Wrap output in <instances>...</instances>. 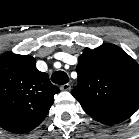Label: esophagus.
Returning <instances> with one entry per match:
<instances>
[{
    "label": "esophagus",
    "mask_w": 139,
    "mask_h": 139,
    "mask_svg": "<svg viewBox=\"0 0 139 139\" xmlns=\"http://www.w3.org/2000/svg\"><path fill=\"white\" fill-rule=\"evenodd\" d=\"M60 89L61 90H63V91H68V90H70L71 89V86H70V84H63L61 87H60Z\"/></svg>",
    "instance_id": "esophagus-1"
}]
</instances>
